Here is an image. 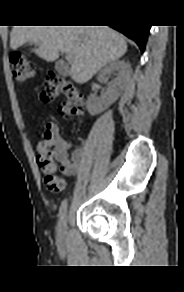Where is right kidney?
Here are the masks:
<instances>
[{
    "instance_id": "right-kidney-1",
    "label": "right kidney",
    "mask_w": 184,
    "mask_h": 292,
    "mask_svg": "<svg viewBox=\"0 0 184 292\" xmlns=\"http://www.w3.org/2000/svg\"><path fill=\"white\" fill-rule=\"evenodd\" d=\"M112 72H117V77L109 82L107 90L102 94L101 98H97L95 94H91L88 97L87 109L92 116L103 112L118 99L132 74L131 66L128 62L115 60L100 71L98 79L107 81L108 75Z\"/></svg>"
}]
</instances>
